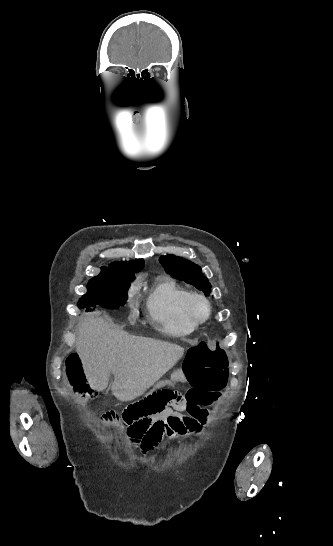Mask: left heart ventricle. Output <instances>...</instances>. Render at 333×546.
Segmentation results:
<instances>
[{
    "mask_svg": "<svg viewBox=\"0 0 333 546\" xmlns=\"http://www.w3.org/2000/svg\"><path fill=\"white\" fill-rule=\"evenodd\" d=\"M198 312H199L200 314H203V313H204L203 307H199V308H198Z\"/></svg>",
    "mask_w": 333,
    "mask_h": 546,
    "instance_id": "b2bd125f",
    "label": "left heart ventricle"
}]
</instances>
